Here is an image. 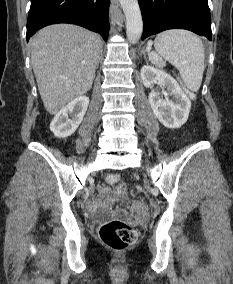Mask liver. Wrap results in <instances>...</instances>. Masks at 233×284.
<instances>
[{
    "mask_svg": "<svg viewBox=\"0 0 233 284\" xmlns=\"http://www.w3.org/2000/svg\"><path fill=\"white\" fill-rule=\"evenodd\" d=\"M30 48L38 90L51 115L91 88L102 51L98 34L71 24L50 25L32 37Z\"/></svg>",
    "mask_w": 233,
    "mask_h": 284,
    "instance_id": "1",
    "label": "liver"
}]
</instances>
